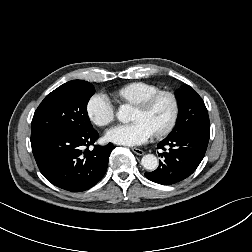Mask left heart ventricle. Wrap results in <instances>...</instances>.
Segmentation results:
<instances>
[{
	"label": "left heart ventricle",
	"instance_id": "1",
	"mask_svg": "<svg viewBox=\"0 0 252 252\" xmlns=\"http://www.w3.org/2000/svg\"><path fill=\"white\" fill-rule=\"evenodd\" d=\"M171 111L170 102L163 98L159 100L153 109L149 112H144L138 107L134 114V121L144 120L146 121L154 131L163 126L169 118Z\"/></svg>",
	"mask_w": 252,
	"mask_h": 252
}]
</instances>
